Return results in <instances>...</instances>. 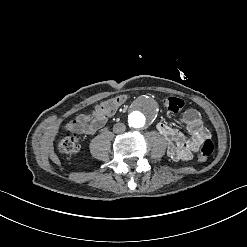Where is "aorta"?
I'll list each match as a JSON object with an SVG mask.
<instances>
[{
	"label": "aorta",
	"instance_id": "obj_1",
	"mask_svg": "<svg viewBox=\"0 0 247 247\" xmlns=\"http://www.w3.org/2000/svg\"><path fill=\"white\" fill-rule=\"evenodd\" d=\"M129 123L134 128L143 127L145 124V117L143 114L136 111L130 116Z\"/></svg>",
	"mask_w": 247,
	"mask_h": 247
}]
</instances>
